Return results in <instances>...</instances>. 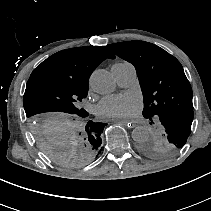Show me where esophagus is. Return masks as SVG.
I'll return each mask as SVG.
<instances>
[{
  "label": "esophagus",
  "mask_w": 211,
  "mask_h": 211,
  "mask_svg": "<svg viewBox=\"0 0 211 211\" xmlns=\"http://www.w3.org/2000/svg\"><path fill=\"white\" fill-rule=\"evenodd\" d=\"M112 122L120 124V125H126L127 129H132L133 125L131 122L123 121V120H112Z\"/></svg>",
  "instance_id": "1"
}]
</instances>
